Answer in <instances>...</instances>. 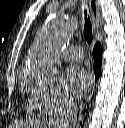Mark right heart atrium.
Returning a JSON list of instances; mask_svg holds the SVG:
<instances>
[{
    "label": "right heart atrium",
    "mask_w": 125,
    "mask_h": 128,
    "mask_svg": "<svg viewBox=\"0 0 125 128\" xmlns=\"http://www.w3.org/2000/svg\"><path fill=\"white\" fill-rule=\"evenodd\" d=\"M31 99L44 113L56 115L72 106V101L51 83L28 85Z\"/></svg>",
    "instance_id": "1"
}]
</instances>
